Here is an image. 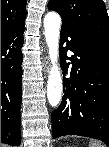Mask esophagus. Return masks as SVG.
Segmentation results:
<instances>
[{
  "label": "esophagus",
  "instance_id": "esophagus-1",
  "mask_svg": "<svg viewBox=\"0 0 109 147\" xmlns=\"http://www.w3.org/2000/svg\"><path fill=\"white\" fill-rule=\"evenodd\" d=\"M49 68H50L49 59L46 57V58L44 59V69H45V72H46V73L49 71Z\"/></svg>",
  "mask_w": 109,
  "mask_h": 147
}]
</instances>
